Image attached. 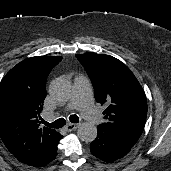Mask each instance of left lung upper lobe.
<instances>
[{
    "label": "left lung upper lobe",
    "instance_id": "1",
    "mask_svg": "<svg viewBox=\"0 0 171 171\" xmlns=\"http://www.w3.org/2000/svg\"><path fill=\"white\" fill-rule=\"evenodd\" d=\"M76 57L92 81L96 101L107 106L106 122L98 128L135 145L144 129L147 100L134 74L109 55L90 52Z\"/></svg>",
    "mask_w": 171,
    "mask_h": 171
}]
</instances>
